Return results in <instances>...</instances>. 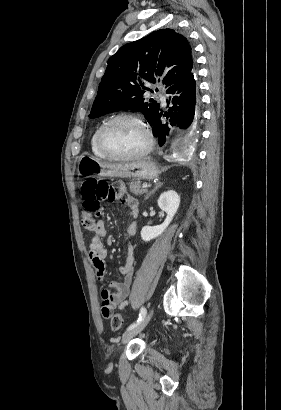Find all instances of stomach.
<instances>
[{"instance_id": "stomach-1", "label": "stomach", "mask_w": 281, "mask_h": 410, "mask_svg": "<svg viewBox=\"0 0 281 410\" xmlns=\"http://www.w3.org/2000/svg\"><path fill=\"white\" fill-rule=\"evenodd\" d=\"M77 172L80 176L94 174L97 176L137 179H153L159 175L158 168L149 160L110 164L90 155H81L79 157Z\"/></svg>"}]
</instances>
